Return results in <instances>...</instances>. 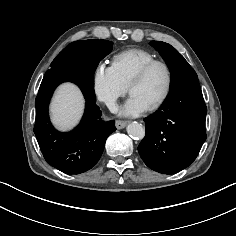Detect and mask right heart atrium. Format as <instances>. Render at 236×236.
<instances>
[{"label": "right heart atrium", "mask_w": 236, "mask_h": 236, "mask_svg": "<svg viewBox=\"0 0 236 236\" xmlns=\"http://www.w3.org/2000/svg\"><path fill=\"white\" fill-rule=\"evenodd\" d=\"M92 91L96 98L114 109L128 87L120 80L112 65L97 64L91 74Z\"/></svg>", "instance_id": "1"}]
</instances>
